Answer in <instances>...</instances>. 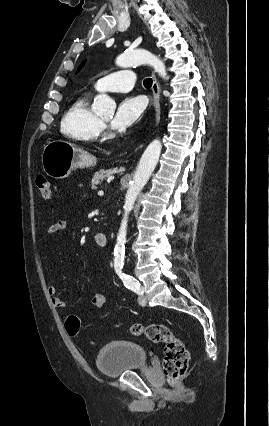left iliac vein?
<instances>
[{
	"mask_svg": "<svg viewBox=\"0 0 269 426\" xmlns=\"http://www.w3.org/2000/svg\"><path fill=\"white\" fill-rule=\"evenodd\" d=\"M138 302H139V304H140L141 306H145V305L147 304V298H146V296H140V297L138 298Z\"/></svg>",
	"mask_w": 269,
	"mask_h": 426,
	"instance_id": "1",
	"label": "left iliac vein"
}]
</instances>
